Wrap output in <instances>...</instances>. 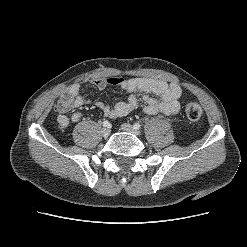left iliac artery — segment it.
<instances>
[{
  "label": "left iliac artery",
  "mask_w": 247,
  "mask_h": 247,
  "mask_svg": "<svg viewBox=\"0 0 247 247\" xmlns=\"http://www.w3.org/2000/svg\"><path fill=\"white\" fill-rule=\"evenodd\" d=\"M141 124L140 123H134V125H133V128L134 129H139V128H141Z\"/></svg>",
  "instance_id": "obj_1"
}]
</instances>
